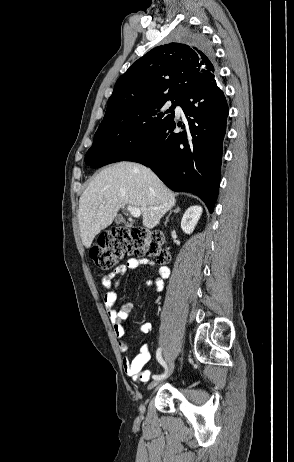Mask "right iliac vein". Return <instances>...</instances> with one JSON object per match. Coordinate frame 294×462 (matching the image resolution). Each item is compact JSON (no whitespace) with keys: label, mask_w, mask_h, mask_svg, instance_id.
<instances>
[{"label":"right iliac vein","mask_w":294,"mask_h":462,"mask_svg":"<svg viewBox=\"0 0 294 462\" xmlns=\"http://www.w3.org/2000/svg\"><path fill=\"white\" fill-rule=\"evenodd\" d=\"M174 366H175L174 361L171 360L170 363H169V368H168V370H167L166 377H168V376L173 372ZM158 383H159V380H154V381H152V382L148 385V390L153 389L155 386L158 385ZM144 410H145L144 405H143V404H140V406H139V411H140V414H141V415L144 413Z\"/></svg>","instance_id":"63e3f726"}]
</instances>
